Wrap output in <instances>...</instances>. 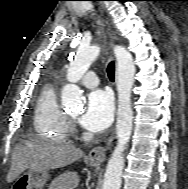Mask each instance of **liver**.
Returning a JSON list of instances; mask_svg holds the SVG:
<instances>
[{
    "mask_svg": "<svg viewBox=\"0 0 188 189\" xmlns=\"http://www.w3.org/2000/svg\"><path fill=\"white\" fill-rule=\"evenodd\" d=\"M82 155V150L70 144L27 142L24 146L17 145L12 153L7 182L12 183L26 169H56L75 162ZM79 181L76 172H68L61 176L64 189H73Z\"/></svg>",
    "mask_w": 188,
    "mask_h": 189,
    "instance_id": "6515ba94",
    "label": "liver"
}]
</instances>
